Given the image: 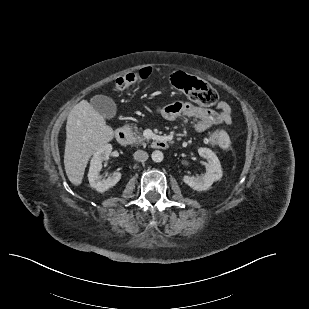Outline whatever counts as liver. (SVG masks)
I'll return each instance as SVG.
<instances>
[{
    "label": "liver",
    "mask_w": 309,
    "mask_h": 309,
    "mask_svg": "<svg viewBox=\"0 0 309 309\" xmlns=\"http://www.w3.org/2000/svg\"><path fill=\"white\" fill-rule=\"evenodd\" d=\"M66 136L65 171L70 182L78 186L90 157L114 138V131L91 104L82 100L68 115Z\"/></svg>",
    "instance_id": "6515ba94"
}]
</instances>
